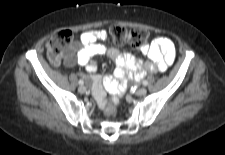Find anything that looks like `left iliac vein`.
<instances>
[{"mask_svg": "<svg viewBox=\"0 0 225 155\" xmlns=\"http://www.w3.org/2000/svg\"><path fill=\"white\" fill-rule=\"evenodd\" d=\"M146 93H147V90H146V88H144V87L139 88V89L137 90V92H136V94H137L138 96H144Z\"/></svg>", "mask_w": 225, "mask_h": 155, "instance_id": "1", "label": "left iliac vein"}]
</instances>
